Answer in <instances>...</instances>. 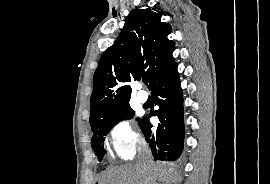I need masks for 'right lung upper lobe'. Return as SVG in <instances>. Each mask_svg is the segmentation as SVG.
<instances>
[{
	"instance_id": "cb5924a9",
	"label": "right lung upper lobe",
	"mask_w": 270,
	"mask_h": 184,
	"mask_svg": "<svg viewBox=\"0 0 270 184\" xmlns=\"http://www.w3.org/2000/svg\"><path fill=\"white\" fill-rule=\"evenodd\" d=\"M162 13L132 10L114 44L102 54L93 77L90 125L112 117L129 105L133 78L149 77V89L174 63V42L167 36L171 26L161 22Z\"/></svg>"
}]
</instances>
